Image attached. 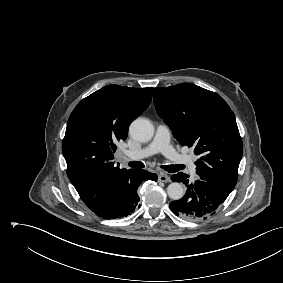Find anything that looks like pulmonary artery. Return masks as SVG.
Listing matches in <instances>:
<instances>
[{
  "label": "pulmonary artery",
  "mask_w": 283,
  "mask_h": 283,
  "mask_svg": "<svg viewBox=\"0 0 283 283\" xmlns=\"http://www.w3.org/2000/svg\"><path fill=\"white\" fill-rule=\"evenodd\" d=\"M156 153H162L172 161L184 164L192 177L196 175V168L193 159L188 155L178 153L170 144V131L165 124H159L152 142L139 150H128L125 158L128 160L142 159Z\"/></svg>",
  "instance_id": "obj_1"
}]
</instances>
